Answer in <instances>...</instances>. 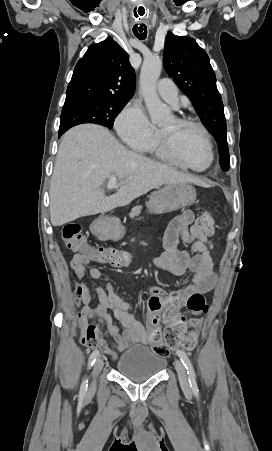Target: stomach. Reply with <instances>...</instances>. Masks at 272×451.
<instances>
[{
  "mask_svg": "<svg viewBox=\"0 0 272 451\" xmlns=\"http://www.w3.org/2000/svg\"><path fill=\"white\" fill-rule=\"evenodd\" d=\"M196 200V190L189 184H165L164 188L153 192L148 208L154 214H165V212H174L180 208L192 206ZM125 233L124 227H119L113 239H121Z\"/></svg>",
  "mask_w": 272,
  "mask_h": 451,
  "instance_id": "obj_1",
  "label": "stomach"
}]
</instances>
